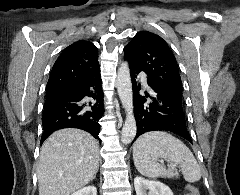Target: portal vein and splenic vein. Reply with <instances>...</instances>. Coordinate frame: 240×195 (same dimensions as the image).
<instances>
[{
  "mask_svg": "<svg viewBox=\"0 0 240 195\" xmlns=\"http://www.w3.org/2000/svg\"><path fill=\"white\" fill-rule=\"evenodd\" d=\"M160 161H162V163H163V159H160Z\"/></svg>",
  "mask_w": 240,
  "mask_h": 195,
  "instance_id": "18ae733b",
  "label": "portal vein and splenic vein"
}]
</instances>
